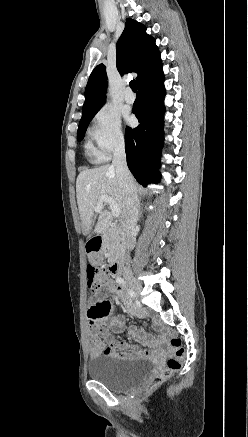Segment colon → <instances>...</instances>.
Wrapping results in <instances>:
<instances>
[{
  "label": "colon",
  "mask_w": 248,
  "mask_h": 437,
  "mask_svg": "<svg viewBox=\"0 0 248 437\" xmlns=\"http://www.w3.org/2000/svg\"><path fill=\"white\" fill-rule=\"evenodd\" d=\"M110 276V270L103 266L88 265L87 281L90 292L97 293L101 285H104ZM93 305H98L97 303ZM184 348L180 338L174 337L170 341V357L168 358L165 367L158 372L150 381L144 386L145 392H150L166 380H168L181 367V361L184 356Z\"/></svg>",
  "instance_id": "obj_1"
}]
</instances>
